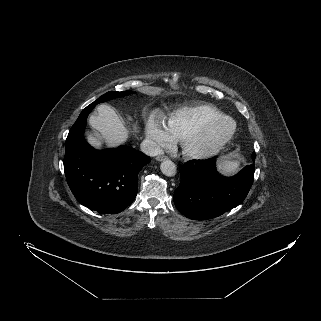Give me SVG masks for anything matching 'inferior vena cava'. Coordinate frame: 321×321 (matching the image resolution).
<instances>
[{"label":"inferior vena cava","instance_id":"obj_1","mask_svg":"<svg viewBox=\"0 0 321 321\" xmlns=\"http://www.w3.org/2000/svg\"><path fill=\"white\" fill-rule=\"evenodd\" d=\"M141 151L150 156L154 157L163 153V150L160 146L151 139H145L140 145Z\"/></svg>","mask_w":321,"mask_h":321}]
</instances>
